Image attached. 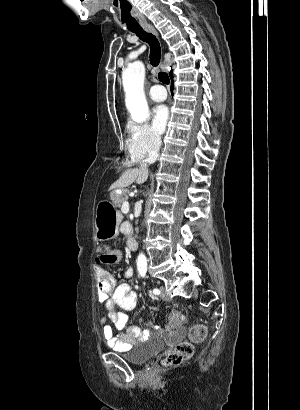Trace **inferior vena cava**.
<instances>
[{
    "label": "inferior vena cava",
    "mask_w": 300,
    "mask_h": 410,
    "mask_svg": "<svg viewBox=\"0 0 300 410\" xmlns=\"http://www.w3.org/2000/svg\"><path fill=\"white\" fill-rule=\"evenodd\" d=\"M160 146H161V137L159 135H156L153 138V147L150 150L148 157L140 163L141 169H147L150 164L154 163L157 160L159 156L158 152H159Z\"/></svg>",
    "instance_id": "obj_1"
}]
</instances>
